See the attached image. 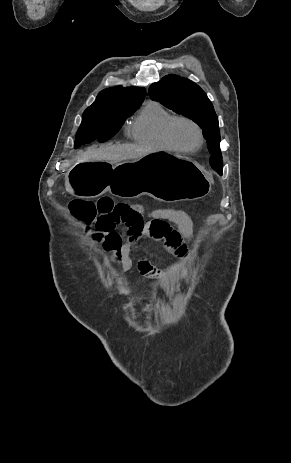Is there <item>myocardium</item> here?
<instances>
[{
	"mask_svg": "<svg viewBox=\"0 0 291 463\" xmlns=\"http://www.w3.org/2000/svg\"><path fill=\"white\" fill-rule=\"evenodd\" d=\"M180 122H185V123H188L190 124L191 126H193L197 132V136H198V141H197V144L192 147V148H185L183 146H181L174 138V135H173V130H174V127L177 123H180ZM165 138L167 140V142L171 145V147L179 152H182V153H185V154H192V153H195L197 152L203 145L204 143V134H203V130L201 128V126L193 119L189 118V117H185V116H175L173 117L169 122L168 124L166 125V128H165Z\"/></svg>",
	"mask_w": 291,
	"mask_h": 463,
	"instance_id": "myocardium-1",
	"label": "myocardium"
}]
</instances>
